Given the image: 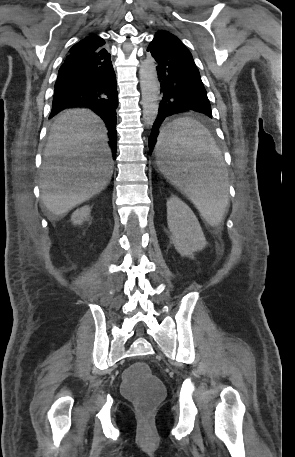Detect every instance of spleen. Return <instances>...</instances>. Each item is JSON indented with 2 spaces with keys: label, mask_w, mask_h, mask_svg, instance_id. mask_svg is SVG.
<instances>
[{
  "label": "spleen",
  "mask_w": 295,
  "mask_h": 457,
  "mask_svg": "<svg viewBox=\"0 0 295 457\" xmlns=\"http://www.w3.org/2000/svg\"><path fill=\"white\" fill-rule=\"evenodd\" d=\"M157 164L164 176L217 226L228 204V175L209 131L195 119H175L160 132Z\"/></svg>",
  "instance_id": "1"
}]
</instances>
